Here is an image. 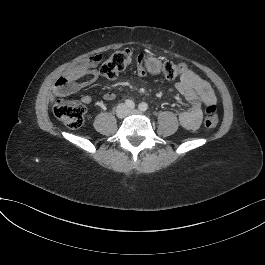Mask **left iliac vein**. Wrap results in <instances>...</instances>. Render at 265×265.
Returning <instances> with one entry per match:
<instances>
[{
  "instance_id": "1",
  "label": "left iliac vein",
  "mask_w": 265,
  "mask_h": 265,
  "mask_svg": "<svg viewBox=\"0 0 265 265\" xmlns=\"http://www.w3.org/2000/svg\"><path fill=\"white\" fill-rule=\"evenodd\" d=\"M128 113H132V114H141L142 112L138 111V110H135V109H131V110H128Z\"/></svg>"
}]
</instances>
